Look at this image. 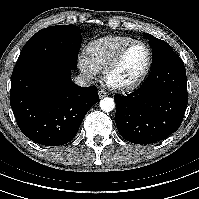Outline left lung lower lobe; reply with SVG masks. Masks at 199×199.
Segmentation results:
<instances>
[{
	"mask_svg": "<svg viewBox=\"0 0 199 199\" xmlns=\"http://www.w3.org/2000/svg\"><path fill=\"white\" fill-rule=\"evenodd\" d=\"M115 102L116 126L127 141L149 144L168 137L180 127L188 104L182 60L174 56L151 67L140 88Z\"/></svg>",
	"mask_w": 199,
	"mask_h": 199,
	"instance_id": "left-lung-lower-lobe-1",
	"label": "left lung lower lobe"
}]
</instances>
